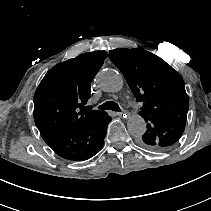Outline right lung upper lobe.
<instances>
[{"label": "right lung upper lobe", "mask_w": 211, "mask_h": 211, "mask_svg": "<svg viewBox=\"0 0 211 211\" xmlns=\"http://www.w3.org/2000/svg\"><path fill=\"white\" fill-rule=\"evenodd\" d=\"M106 51L84 53L50 69L34 95V121L43 139L85 124L103 111L85 106Z\"/></svg>", "instance_id": "obj_1"}]
</instances>
